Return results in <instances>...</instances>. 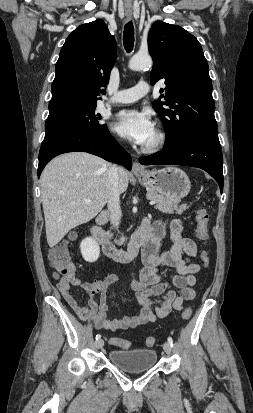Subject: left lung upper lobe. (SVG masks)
<instances>
[{"mask_svg":"<svg viewBox=\"0 0 253 413\" xmlns=\"http://www.w3.org/2000/svg\"><path fill=\"white\" fill-rule=\"evenodd\" d=\"M153 58L150 82L165 80V92L153 107L173 147L192 137L218 139L215 104L207 60L198 40L177 25L156 21L148 35ZM164 106V107H163Z\"/></svg>","mask_w":253,"mask_h":413,"instance_id":"obj_1","label":"left lung upper lobe"}]
</instances>
